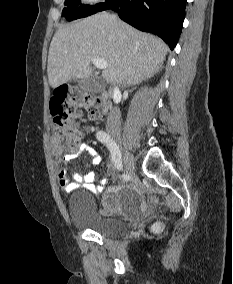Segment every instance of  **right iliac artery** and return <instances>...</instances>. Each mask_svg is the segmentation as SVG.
Segmentation results:
<instances>
[{"label": "right iliac artery", "instance_id": "82829eb1", "mask_svg": "<svg viewBox=\"0 0 233 284\" xmlns=\"http://www.w3.org/2000/svg\"><path fill=\"white\" fill-rule=\"evenodd\" d=\"M96 137L101 143L105 144L109 149L115 167L118 170H123L121 153L115 141L111 139V137L105 131H98L96 133Z\"/></svg>", "mask_w": 233, "mask_h": 284}]
</instances>
